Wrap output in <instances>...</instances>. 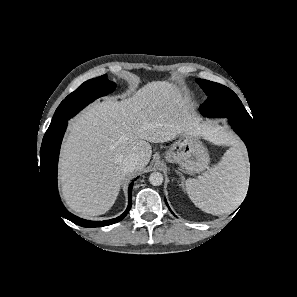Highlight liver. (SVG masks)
Here are the masks:
<instances>
[{"label":"liver","mask_w":297,"mask_h":297,"mask_svg":"<svg viewBox=\"0 0 297 297\" xmlns=\"http://www.w3.org/2000/svg\"><path fill=\"white\" fill-rule=\"evenodd\" d=\"M184 132L212 134L168 81L148 83L122 101L92 104L70 121L63 143L59 179L66 205L81 216L106 213L126 176L124 160L138 156L133 172H141L152 155L149 142H168Z\"/></svg>","instance_id":"6515ba94"}]
</instances>
